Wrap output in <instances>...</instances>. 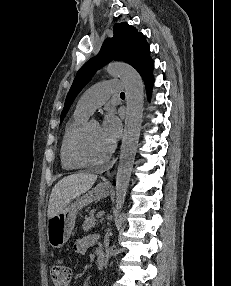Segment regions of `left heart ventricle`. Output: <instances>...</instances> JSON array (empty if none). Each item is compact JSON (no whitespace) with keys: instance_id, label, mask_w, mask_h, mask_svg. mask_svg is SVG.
I'll use <instances>...</instances> for the list:
<instances>
[{"instance_id":"1","label":"left heart ventricle","mask_w":231,"mask_h":286,"mask_svg":"<svg viewBox=\"0 0 231 286\" xmlns=\"http://www.w3.org/2000/svg\"><path fill=\"white\" fill-rule=\"evenodd\" d=\"M111 146L112 144L104 136L100 125L91 124L82 144L84 154L91 159H100L109 152Z\"/></svg>"}]
</instances>
